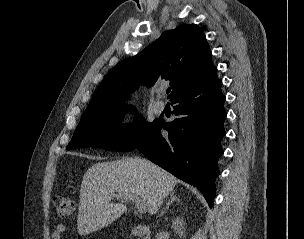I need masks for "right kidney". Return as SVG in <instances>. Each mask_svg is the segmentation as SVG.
<instances>
[{"instance_id":"obj_1","label":"right kidney","mask_w":304,"mask_h":239,"mask_svg":"<svg viewBox=\"0 0 304 239\" xmlns=\"http://www.w3.org/2000/svg\"><path fill=\"white\" fill-rule=\"evenodd\" d=\"M184 222L180 218H176L173 221L172 227L179 234L180 237H185V231L183 230Z\"/></svg>"}]
</instances>
